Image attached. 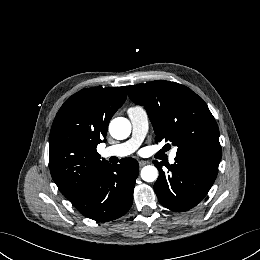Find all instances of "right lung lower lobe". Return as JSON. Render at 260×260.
I'll return each instance as SVG.
<instances>
[{"label": "right lung lower lobe", "instance_id": "1", "mask_svg": "<svg viewBox=\"0 0 260 260\" xmlns=\"http://www.w3.org/2000/svg\"><path fill=\"white\" fill-rule=\"evenodd\" d=\"M139 173L138 162L124 158L120 164L105 163L92 182L71 203L84 216L108 222L128 212Z\"/></svg>", "mask_w": 260, "mask_h": 260}]
</instances>
